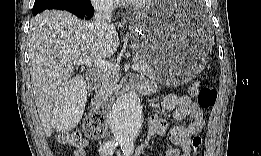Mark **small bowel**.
<instances>
[{
  "instance_id": "1",
  "label": "small bowel",
  "mask_w": 261,
  "mask_h": 156,
  "mask_svg": "<svg viewBox=\"0 0 261 156\" xmlns=\"http://www.w3.org/2000/svg\"><path fill=\"white\" fill-rule=\"evenodd\" d=\"M133 86H137L145 92L156 90L146 82H141L137 78L129 80ZM163 111L173 112V118L176 121L191 119L188 125H176L171 128L170 141L172 146L164 152L165 156L187 155L193 136L199 134L205 126L204 112L199 105L194 103L187 95L178 96L174 93L166 95L160 104ZM167 132V122L159 115H152L149 119L148 138L140 143L134 150L135 156H149L151 149V137L155 135L162 136ZM89 140L83 139L82 144L74 151L75 156L86 155ZM100 153V152H99ZM102 155V154H101Z\"/></svg>"
}]
</instances>
